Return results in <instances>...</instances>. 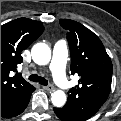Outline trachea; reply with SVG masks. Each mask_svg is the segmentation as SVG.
Returning a JSON list of instances; mask_svg holds the SVG:
<instances>
[{
	"instance_id": "trachea-1",
	"label": "trachea",
	"mask_w": 121,
	"mask_h": 121,
	"mask_svg": "<svg viewBox=\"0 0 121 121\" xmlns=\"http://www.w3.org/2000/svg\"><path fill=\"white\" fill-rule=\"evenodd\" d=\"M28 79L30 81H33V82H38L40 83L41 85H44V86H47L48 85V81L44 78V77H41L37 74H32L28 77Z\"/></svg>"
}]
</instances>
